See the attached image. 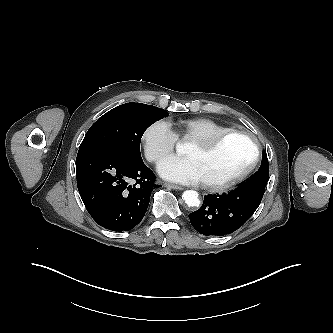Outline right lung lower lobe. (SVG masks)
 <instances>
[{
	"label": "right lung lower lobe",
	"mask_w": 333,
	"mask_h": 333,
	"mask_svg": "<svg viewBox=\"0 0 333 333\" xmlns=\"http://www.w3.org/2000/svg\"><path fill=\"white\" fill-rule=\"evenodd\" d=\"M76 178L89 214L113 231H129L138 225L157 187L154 173L142 158L107 149L78 151Z\"/></svg>",
	"instance_id": "1"
}]
</instances>
